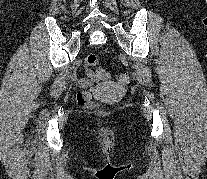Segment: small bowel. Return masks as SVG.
<instances>
[{"instance_id": "c3829d8e", "label": "small bowel", "mask_w": 207, "mask_h": 179, "mask_svg": "<svg viewBox=\"0 0 207 179\" xmlns=\"http://www.w3.org/2000/svg\"><path fill=\"white\" fill-rule=\"evenodd\" d=\"M97 73H93L90 69L86 68L85 76L80 79V84L83 86H91L99 81Z\"/></svg>"}]
</instances>
